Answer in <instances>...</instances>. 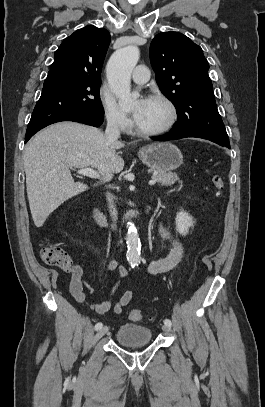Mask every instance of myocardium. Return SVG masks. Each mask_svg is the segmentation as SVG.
Segmentation results:
<instances>
[{
  "label": "myocardium",
  "mask_w": 265,
  "mask_h": 407,
  "mask_svg": "<svg viewBox=\"0 0 265 407\" xmlns=\"http://www.w3.org/2000/svg\"><path fill=\"white\" fill-rule=\"evenodd\" d=\"M148 99L160 101L167 107L169 111V118L167 122L160 128L155 130H143L133 123L134 132L141 137H156L169 132L177 122L178 119V109L175 103L166 95L161 93H154L148 97Z\"/></svg>",
  "instance_id": "obj_1"
}]
</instances>
